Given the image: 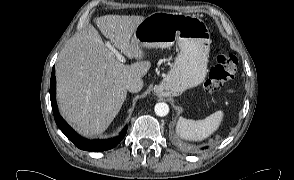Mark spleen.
Listing matches in <instances>:
<instances>
[{
	"instance_id": "1",
	"label": "spleen",
	"mask_w": 294,
	"mask_h": 180,
	"mask_svg": "<svg viewBox=\"0 0 294 180\" xmlns=\"http://www.w3.org/2000/svg\"><path fill=\"white\" fill-rule=\"evenodd\" d=\"M222 119L223 112L220 110L202 120L180 117L176 125V133L184 140L202 141L218 129Z\"/></svg>"
}]
</instances>
